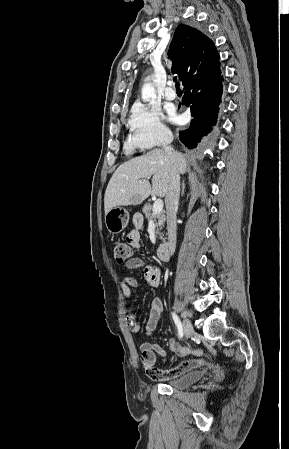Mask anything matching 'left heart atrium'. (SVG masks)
<instances>
[{"label":"left heart atrium","mask_w":289,"mask_h":449,"mask_svg":"<svg viewBox=\"0 0 289 449\" xmlns=\"http://www.w3.org/2000/svg\"><path fill=\"white\" fill-rule=\"evenodd\" d=\"M168 115H169V119H170L171 121H173V122H177V121H178V117H177V115L175 114V112H174L173 109H169V110H168Z\"/></svg>","instance_id":"1"}]
</instances>
